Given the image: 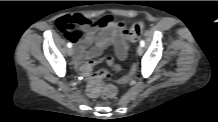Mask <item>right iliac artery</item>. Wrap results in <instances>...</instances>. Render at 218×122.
<instances>
[{
	"label": "right iliac artery",
	"instance_id": "82829eb1",
	"mask_svg": "<svg viewBox=\"0 0 218 122\" xmlns=\"http://www.w3.org/2000/svg\"><path fill=\"white\" fill-rule=\"evenodd\" d=\"M67 47H68V48H71V47H72V44H71L70 42H68V43H67Z\"/></svg>",
	"mask_w": 218,
	"mask_h": 122
}]
</instances>
